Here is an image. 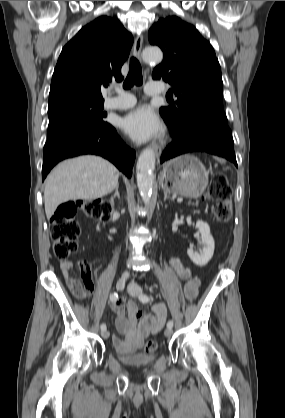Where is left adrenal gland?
Here are the masks:
<instances>
[{"label": "left adrenal gland", "instance_id": "1", "mask_svg": "<svg viewBox=\"0 0 285 418\" xmlns=\"http://www.w3.org/2000/svg\"><path fill=\"white\" fill-rule=\"evenodd\" d=\"M167 199H170V200L174 201V198H171V197L167 194V192H164V201H166Z\"/></svg>", "mask_w": 285, "mask_h": 418}]
</instances>
